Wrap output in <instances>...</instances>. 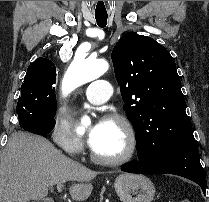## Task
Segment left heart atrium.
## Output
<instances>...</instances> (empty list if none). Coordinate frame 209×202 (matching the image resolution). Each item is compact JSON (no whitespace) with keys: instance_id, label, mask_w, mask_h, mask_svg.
Masks as SVG:
<instances>
[{"instance_id":"39dd6f15","label":"left heart atrium","mask_w":209,"mask_h":202,"mask_svg":"<svg viewBox=\"0 0 209 202\" xmlns=\"http://www.w3.org/2000/svg\"><path fill=\"white\" fill-rule=\"evenodd\" d=\"M103 122L94 123L87 134L88 143L93 146L99 139L101 130H102Z\"/></svg>"}]
</instances>
